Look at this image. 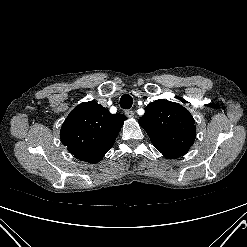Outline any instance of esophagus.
<instances>
[{"label":"esophagus","mask_w":247,"mask_h":247,"mask_svg":"<svg viewBox=\"0 0 247 247\" xmlns=\"http://www.w3.org/2000/svg\"><path fill=\"white\" fill-rule=\"evenodd\" d=\"M125 114H126V116L129 117V118L134 117V112H133L132 110H127V111L125 112Z\"/></svg>","instance_id":"34e87169"}]
</instances>
